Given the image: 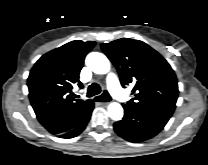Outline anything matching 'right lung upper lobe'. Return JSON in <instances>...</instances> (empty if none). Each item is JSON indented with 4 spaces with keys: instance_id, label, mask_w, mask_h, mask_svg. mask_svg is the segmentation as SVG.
<instances>
[{
    "instance_id": "cb5924a9",
    "label": "right lung upper lobe",
    "mask_w": 208,
    "mask_h": 165,
    "mask_svg": "<svg viewBox=\"0 0 208 165\" xmlns=\"http://www.w3.org/2000/svg\"><path fill=\"white\" fill-rule=\"evenodd\" d=\"M95 42L71 41L44 54L28 77L31 105L39 122L57 135L75 127L94 105L92 100L72 97L86 54Z\"/></svg>"
}]
</instances>
